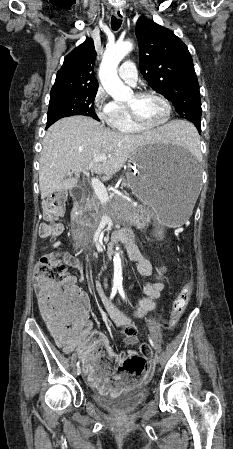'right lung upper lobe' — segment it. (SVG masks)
<instances>
[{
  "instance_id": "right-lung-upper-lobe-1",
  "label": "right lung upper lobe",
  "mask_w": 233,
  "mask_h": 449,
  "mask_svg": "<svg viewBox=\"0 0 233 449\" xmlns=\"http://www.w3.org/2000/svg\"><path fill=\"white\" fill-rule=\"evenodd\" d=\"M96 51L91 38L71 51L56 75L51 94L70 91L98 90L93 67Z\"/></svg>"
}]
</instances>
